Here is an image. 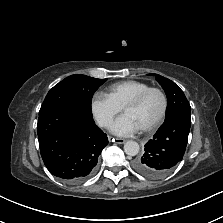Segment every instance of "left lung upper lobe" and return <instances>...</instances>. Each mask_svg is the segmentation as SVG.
Wrapping results in <instances>:
<instances>
[{"label":"left lung upper lobe","instance_id":"1","mask_svg":"<svg viewBox=\"0 0 223 223\" xmlns=\"http://www.w3.org/2000/svg\"><path fill=\"white\" fill-rule=\"evenodd\" d=\"M154 75L156 80L164 89L168 106L166 109V118L165 121L172 117H183L191 120V107L186 99L183 91L179 88L177 84L173 81L169 80L158 74H150Z\"/></svg>","mask_w":223,"mask_h":223}]
</instances>
